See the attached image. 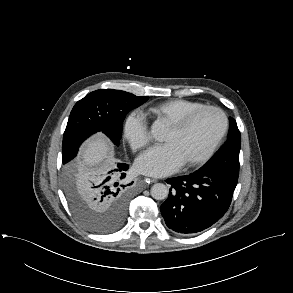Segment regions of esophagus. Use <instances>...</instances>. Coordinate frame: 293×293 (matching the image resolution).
I'll return each mask as SVG.
<instances>
[{"label": "esophagus", "instance_id": "1", "mask_svg": "<svg viewBox=\"0 0 293 293\" xmlns=\"http://www.w3.org/2000/svg\"><path fill=\"white\" fill-rule=\"evenodd\" d=\"M145 180L151 183H156L158 181L157 179H151V178H145Z\"/></svg>", "mask_w": 293, "mask_h": 293}]
</instances>
